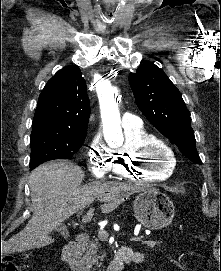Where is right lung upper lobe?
I'll list each match as a JSON object with an SVG mask.
<instances>
[{
    "label": "right lung upper lobe",
    "instance_id": "cb5924a9",
    "mask_svg": "<svg viewBox=\"0 0 221 271\" xmlns=\"http://www.w3.org/2000/svg\"><path fill=\"white\" fill-rule=\"evenodd\" d=\"M76 66L65 67L42 90L32 132L87 133L90 102L86 82Z\"/></svg>",
    "mask_w": 221,
    "mask_h": 271
}]
</instances>
